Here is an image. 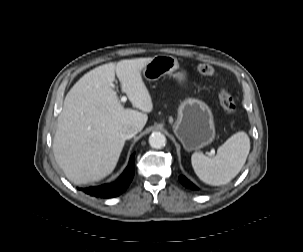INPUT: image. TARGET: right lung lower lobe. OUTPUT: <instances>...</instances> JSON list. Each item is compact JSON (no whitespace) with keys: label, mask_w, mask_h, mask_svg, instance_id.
<instances>
[{"label":"right lung lower lobe","mask_w":303,"mask_h":252,"mask_svg":"<svg viewBox=\"0 0 303 252\" xmlns=\"http://www.w3.org/2000/svg\"><path fill=\"white\" fill-rule=\"evenodd\" d=\"M134 156L135 154H132L127 168L124 170L123 174L119 177V179L115 182L97 187L84 188L81 190L91 196L101 198H111L120 195L128 188L130 182L133 179L135 173Z\"/></svg>","instance_id":"right-lung-lower-lobe-1"}]
</instances>
